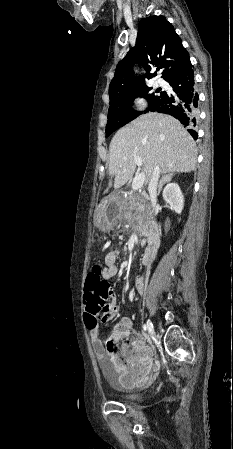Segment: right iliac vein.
I'll return each mask as SVG.
<instances>
[{"label":"right iliac vein","instance_id":"obj_1","mask_svg":"<svg viewBox=\"0 0 233 449\" xmlns=\"http://www.w3.org/2000/svg\"><path fill=\"white\" fill-rule=\"evenodd\" d=\"M147 324H148V326H149V330H148V331H149L150 335L153 336V335H154V329H153V327H151V324H152L151 321L148 320V321H147Z\"/></svg>","mask_w":233,"mask_h":449}]
</instances>
